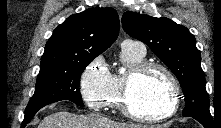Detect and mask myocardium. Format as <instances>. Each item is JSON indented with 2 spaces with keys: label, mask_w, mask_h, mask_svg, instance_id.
<instances>
[{
  "label": "myocardium",
  "mask_w": 221,
  "mask_h": 128,
  "mask_svg": "<svg viewBox=\"0 0 221 128\" xmlns=\"http://www.w3.org/2000/svg\"><path fill=\"white\" fill-rule=\"evenodd\" d=\"M151 70H160L168 79L171 98L168 108L161 113L148 115L137 112L133 109L130 103V96L132 92L133 84L147 72ZM180 104V89L175 75L172 71L165 65L157 62H143L136 67L129 70L128 74L125 76L121 91V104L120 108L122 112L130 119L135 121H145V122H161L172 115H174Z\"/></svg>",
  "instance_id": "obj_1"
}]
</instances>
